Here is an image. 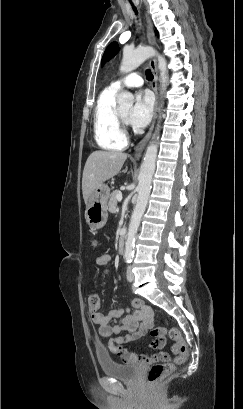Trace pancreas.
Returning a JSON list of instances; mask_svg holds the SVG:
<instances>
[{
  "label": "pancreas",
  "instance_id": "obj_1",
  "mask_svg": "<svg viewBox=\"0 0 243 409\" xmlns=\"http://www.w3.org/2000/svg\"><path fill=\"white\" fill-rule=\"evenodd\" d=\"M120 194V191L115 190L112 192L111 196H110V200L108 202V210L111 213H115L116 212V206H117V195Z\"/></svg>",
  "mask_w": 243,
  "mask_h": 409
}]
</instances>
